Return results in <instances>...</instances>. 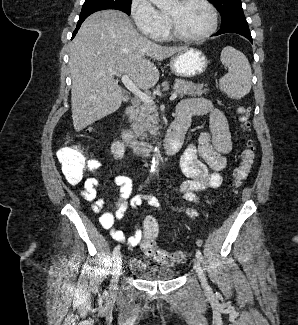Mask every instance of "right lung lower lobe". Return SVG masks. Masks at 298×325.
I'll use <instances>...</instances> for the list:
<instances>
[{
    "mask_svg": "<svg viewBox=\"0 0 298 325\" xmlns=\"http://www.w3.org/2000/svg\"><path fill=\"white\" fill-rule=\"evenodd\" d=\"M82 22H83L82 20H79V21H78V23H77V27H76V29H75V31H74V33H73V36H75V34L77 33V31H78V29L80 28Z\"/></svg>",
    "mask_w": 298,
    "mask_h": 325,
    "instance_id": "obj_1",
    "label": "right lung lower lobe"
}]
</instances>
